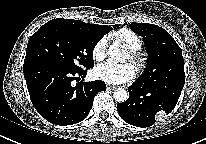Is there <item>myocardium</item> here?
Segmentation results:
<instances>
[{
    "mask_svg": "<svg viewBox=\"0 0 206 144\" xmlns=\"http://www.w3.org/2000/svg\"><path fill=\"white\" fill-rule=\"evenodd\" d=\"M131 59L139 70H143L145 66V58L142 54L133 51L131 54Z\"/></svg>",
    "mask_w": 206,
    "mask_h": 144,
    "instance_id": "obj_1",
    "label": "myocardium"
}]
</instances>
